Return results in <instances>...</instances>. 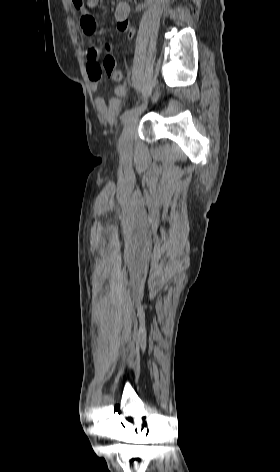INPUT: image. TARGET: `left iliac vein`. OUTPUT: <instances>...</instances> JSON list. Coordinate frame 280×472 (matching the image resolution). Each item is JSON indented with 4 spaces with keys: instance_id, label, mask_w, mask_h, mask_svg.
I'll use <instances>...</instances> for the list:
<instances>
[{
    "instance_id": "obj_1",
    "label": "left iliac vein",
    "mask_w": 280,
    "mask_h": 472,
    "mask_svg": "<svg viewBox=\"0 0 280 472\" xmlns=\"http://www.w3.org/2000/svg\"><path fill=\"white\" fill-rule=\"evenodd\" d=\"M138 122V116H132L125 124L121 137L118 141V148L123 153H129L132 149L134 132Z\"/></svg>"
}]
</instances>
